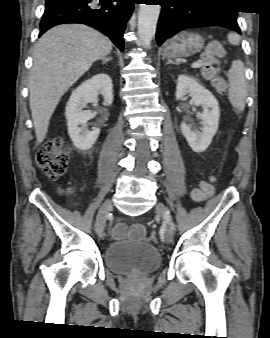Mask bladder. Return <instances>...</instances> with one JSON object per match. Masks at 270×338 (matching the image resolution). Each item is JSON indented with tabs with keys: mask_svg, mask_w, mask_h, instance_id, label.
<instances>
[{
	"mask_svg": "<svg viewBox=\"0 0 270 338\" xmlns=\"http://www.w3.org/2000/svg\"><path fill=\"white\" fill-rule=\"evenodd\" d=\"M161 262L160 251L145 242H111L105 249V265L115 274L146 275L157 270Z\"/></svg>",
	"mask_w": 270,
	"mask_h": 338,
	"instance_id": "bladder-1",
	"label": "bladder"
}]
</instances>
